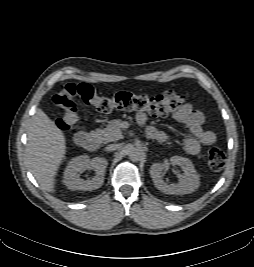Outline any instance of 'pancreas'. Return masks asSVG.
Segmentation results:
<instances>
[{"label":"pancreas","instance_id":"1","mask_svg":"<svg viewBox=\"0 0 254 267\" xmlns=\"http://www.w3.org/2000/svg\"><path fill=\"white\" fill-rule=\"evenodd\" d=\"M93 135L100 143L119 140L122 137L121 120H111L106 128L97 129Z\"/></svg>","mask_w":254,"mask_h":267}]
</instances>
